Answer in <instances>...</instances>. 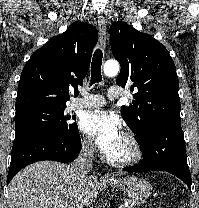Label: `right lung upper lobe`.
Wrapping results in <instances>:
<instances>
[{
    "label": "right lung upper lobe",
    "mask_w": 199,
    "mask_h": 208,
    "mask_svg": "<svg viewBox=\"0 0 199 208\" xmlns=\"http://www.w3.org/2000/svg\"><path fill=\"white\" fill-rule=\"evenodd\" d=\"M97 41L95 27L74 22L36 50L22 70L15 109L66 107L69 92L83 83Z\"/></svg>",
    "instance_id": "cb5924a9"
}]
</instances>
